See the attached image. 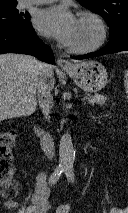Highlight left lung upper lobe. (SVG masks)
<instances>
[{
  "mask_svg": "<svg viewBox=\"0 0 128 213\" xmlns=\"http://www.w3.org/2000/svg\"><path fill=\"white\" fill-rule=\"evenodd\" d=\"M79 2L103 16L111 30L110 37L128 29V0H79Z\"/></svg>",
  "mask_w": 128,
  "mask_h": 213,
  "instance_id": "1",
  "label": "left lung upper lobe"
}]
</instances>
